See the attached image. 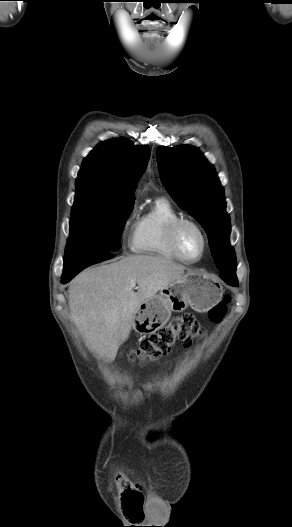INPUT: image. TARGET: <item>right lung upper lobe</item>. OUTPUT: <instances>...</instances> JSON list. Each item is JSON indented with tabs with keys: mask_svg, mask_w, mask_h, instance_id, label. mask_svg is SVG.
<instances>
[{
	"mask_svg": "<svg viewBox=\"0 0 292 527\" xmlns=\"http://www.w3.org/2000/svg\"><path fill=\"white\" fill-rule=\"evenodd\" d=\"M149 156L148 146H135L127 139L102 142L83 161L76 191H94L113 201H134Z\"/></svg>",
	"mask_w": 292,
	"mask_h": 527,
	"instance_id": "1",
	"label": "right lung upper lobe"
}]
</instances>
